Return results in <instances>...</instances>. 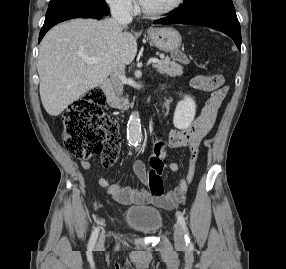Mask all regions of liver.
Wrapping results in <instances>:
<instances>
[{
  "instance_id": "1",
  "label": "liver",
  "mask_w": 286,
  "mask_h": 269,
  "mask_svg": "<svg viewBox=\"0 0 286 269\" xmlns=\"http://www.w3.org/2000/svg\"><path fill=\"white\" fill-rule=\"evenodd\" d=\"M127 29L114 19H73L48 31L40 44L37 69L41 101L49 115L58 116L115 69L132 63L137 42ZM83 56L98 61L89 64Z\"/></svg>"
}]
</instances>
